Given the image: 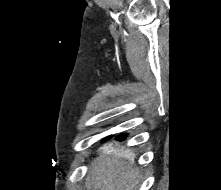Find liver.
I'll return each instance as SVG.
<instances>
[{
  "mask_svg": "<svg viewBox=\"0 0 221 190\" xmlns=\"http://www.w3.org/2000/svg\"><path fill=\"white\" fill-rule=\"evenodd\" d=\"M139 173L113 148L101 153L85 179L87 190H137Z\"/></svg>",
  "mask_w": 221,
  "mask_h": 190,
  "instance_id": "liver-1",
  "label": "liver"
}]
</instances>
